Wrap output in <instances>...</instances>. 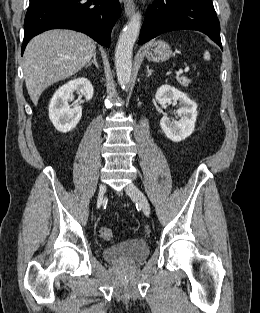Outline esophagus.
<instances>
[{"label": "esophagus", "instance_id": "34e87169", "mask_svg": "<svg viewBox=\"0 0 260 313\" xmlns=\"http://www.w3.org/2000/svg\"><path fill=\"white\" fill-rule=\"evenodd\" d=\"M124 10H125V14L130 17L134 10H135V4L132 1H125L124 2Z\"/></svg>", "mask_w": 260, "mask_h": 313}]
</instances>
